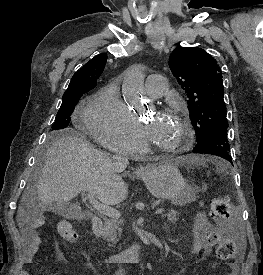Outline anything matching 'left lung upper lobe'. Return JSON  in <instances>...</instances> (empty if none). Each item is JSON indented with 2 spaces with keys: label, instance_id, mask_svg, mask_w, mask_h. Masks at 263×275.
<instances>
[{
  "label": "left lung upper lobe",
  "instance_id": "1",
  "mask_svg": "<svg viewBox=\"0 0 263 275\" xmlns=\"http://www.w3.org/2000/svg\"><path fill=\"white\" fill-rule=\"evenodd\" d=\"M169 67L188 97L196 141L228 128L223 81L216 60L201 48L177 47Z\"/></svg>",
  "mask_w": 263,
  "mask_h": 275
}]
</instances>
